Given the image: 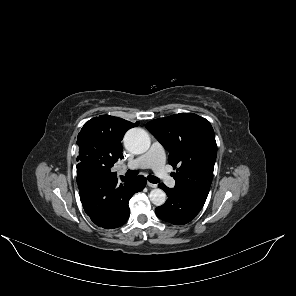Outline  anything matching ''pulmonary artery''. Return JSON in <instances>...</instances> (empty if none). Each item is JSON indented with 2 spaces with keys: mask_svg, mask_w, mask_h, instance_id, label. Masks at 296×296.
I'll list each match as a JSON object with an SVG mask.
<instances>
[{
  "mask_svg": "<svg viewBox=\"0 0 296 296\" xmlns=\"http://www.w3.org/2000/svg\"><path fill=\"white\" fill-rule=\"evenodd\" d=\"M150 168L170 188L175 187V179L172 178L165 167V153L162 145L154 141L150 149L142 156L130 161L121 169H145Z\"/></svg>",
  "mask_w": 296,
  "mask_h": 296,
  "instance_id": "e3ab8cb5",
  "label": "pulmonary artery"
}]
</instances>
